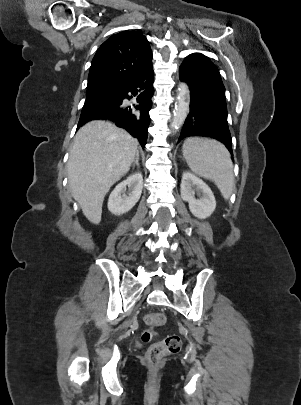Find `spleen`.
<instances>
[{
	"label": "spleen",
	"instance_id": "obj_1",
	"mask_svg": "<svg viewBox=\"0 0 301 405\" xmlns=\"http://www.w3.org/2000/svg\"><path fill=\"white\" fill-rule=\"evenodd\" d=\"M182 152L190 169L213 181L222 196L229 199L234 186V175L228 150L215 140L195 137L185 140Z\"/></svg>",
	"mask_w": 301,
	"mask_h": 405
}]
</instances>
